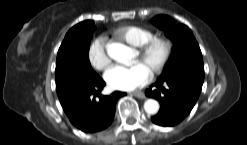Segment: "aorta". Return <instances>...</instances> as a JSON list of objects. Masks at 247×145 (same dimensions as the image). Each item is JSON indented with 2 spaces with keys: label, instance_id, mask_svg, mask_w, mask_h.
I'll return each mask as SVG.
<instances>
[{
  "label": "aorta",
  "instance_id": "1",
  "mask_svg": "<svg viewBox=\"0 0 247 145\" xmlns=\"http://www.w3.org/2000/svg\"><path fill=\"white\" fill-rule=\"evenodd\" d=\"M107 54L116 61L125 62L129 59L131 49L121 43H111L107 45ZM144 109L148 114H156L159 103L154 99H148L144 103Z\"/></svg>",
  "mask_w": 247,
  "mask_h": 145
}]
</instances>
